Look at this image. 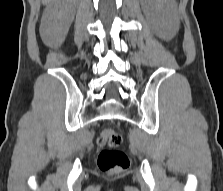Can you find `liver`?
I'll list each match as a JSON object with an SVG mask.
<instances>
[{"mask_svg":"<svg viewBox=\"0 0 223 191\" xmlns=\"http://www.w3.org/2000/svg\"><path fill=\"white\" fill-rule=\"evenodd\" d=\"M53 0H42V4L43 5H47L49 3H51Z\"/></svg>","mask_w":223,"mask_h":191,"instance_id":"6515ba94","label":"liver"}]
</instances>
